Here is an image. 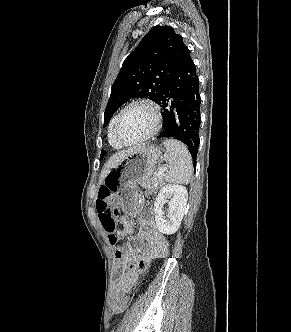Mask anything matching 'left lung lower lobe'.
Masks as SVG:
<instances>
[{
    "label": "left lung lower lobe",
    "mask_w": 291,
    "mask_h": 332,
    "mask_svg": "<svg viewBox=\"0 0 291 332\" xmlns=\"http://www.w3.org/2000/svg\"><path fill=\"white\" fill-rule=\"evenodd\" d=\"M157 103L163 108L164 124V130L158 137H175L185 143L195 166L199 147L201 99L196 67L187 47Z\"/></svg>",
    "instance_id": "0a47b994"
}]
</instances>
